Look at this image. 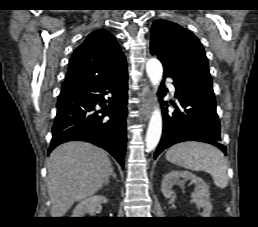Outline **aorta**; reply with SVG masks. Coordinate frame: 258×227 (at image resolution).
Returning a JSON list of instances; mask_svg holds the SVG:
<instances>
[{"label": "aorta", "mask_w": 258, "mask_h": 227, "mask_svg": "<svg viewBox=\"0 0 258 227\" xmlns=\"http://www.w3.org/2000/svg\"><path fill=\"white\" fill-rule=\"evenodd\" d=\"M146 72L150 82L158 88L163 75V67L160 61L156 58H151L146 63ZM162 134V116L158 108H155L146 133V148L147 151H152L158 145Z\"/></svg>", "instance_id": "aorta-1"}]
</instances>
